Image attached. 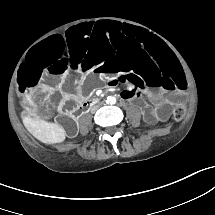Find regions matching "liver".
I'll use <instances>...</instances> for the list:
<instances>
[{
  "label": "liver",
  "instance_id": "obj_1",
  "mask_svg": "<svg viewBox=\"0 0 215 215\" xmlns=\"http://www.w3.org/2000/svg\"><path fill=\"white\" fill-rule=\"evenodd\" d=\"M23 124L36 139L43 143L54 144L65 140V130L58 124L31 117H23Z\"/></svg>",
  "mask_w": 215,
  "mask_h": 215
}]
</instances>
